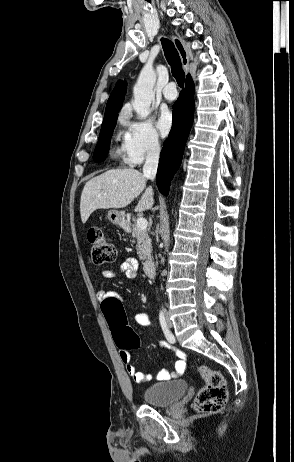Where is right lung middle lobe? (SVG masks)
Here are the masks:
<instances>
[{"mask_svg":"<svg viewBox=\"0 0 294 462\" xmlns=\"http://www.w3.org/2000/svg\"><path fill=\"white\" fill-rule=\"evenodd\" d=\"M118 114L105 117L101 126L100 136L95 148L93 159L97 162L103 161L105 155L109 151L110 140L109 135L113 132Z\"/></svg>","mask_w":294,"mask_h":462,"instance_id":"1","label":"right lung middle lobe"}]
</instances>
